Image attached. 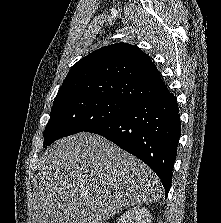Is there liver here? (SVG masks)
Segmentation results:
<instances>
[{"label": "liver", "mask_w": 221, "mask_h": 223, "mask_svg": "<svg viewBox=\"0 0 221 223\" xmlns=\"http://www.w3.org/2000/svg\"><path fill=\"white\" fill-rule=\"evenodd\" d=\"M39 166L34 223H103L161 197L160 180L146 164L96 134L61 138Z\"/></svg>", "instance_id": "1"}]
</instances>
